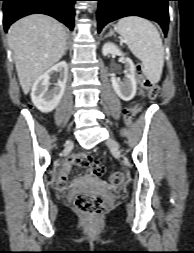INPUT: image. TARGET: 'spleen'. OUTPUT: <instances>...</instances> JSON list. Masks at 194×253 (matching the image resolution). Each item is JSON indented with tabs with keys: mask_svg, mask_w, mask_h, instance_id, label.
Listing matches in <instances>:
<instances>
[{
	"mask_svg": "<svg viewBox=\"0 0 194 253\" xmlns=\"http://www.w3.org/2000/svg\"><path fill=\"white\" fill-rule=\"evenodd\" d=\"M116 29L132 53L142 61L143 73L151 83L160 81L164 47L157 28L148 20L129 16L120 19Z\"/></svg>",
	"mask_w": 194,
	"mask_h": 253,
	"instance_id": "spleen-1",
	"label": "spleen"
}]
</instances>
